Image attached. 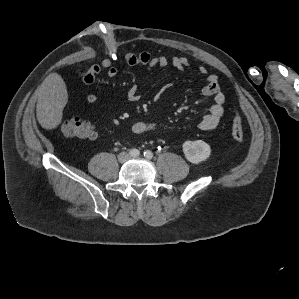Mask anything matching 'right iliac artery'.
<instances>
[{"instance_id":"right-iliac-artery-1","label":"right iliac artery","mask_w":299,"mask_h":299,"mask_svg":"<svg viewBox=\"0 0 299 299\" xmlns=\"http://www.w3.org/2000/svg\"><path fill=\"white\" fill-rule=\"evenodd\" d=\"M129 154H130L131 156H133V157H137V156H139L140 151H139L138 149H131V150L129 151Z\"/></svg>"}]
</instances>
